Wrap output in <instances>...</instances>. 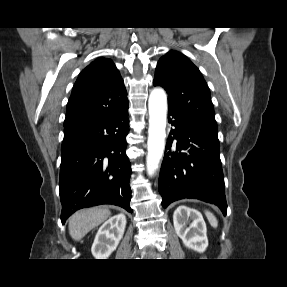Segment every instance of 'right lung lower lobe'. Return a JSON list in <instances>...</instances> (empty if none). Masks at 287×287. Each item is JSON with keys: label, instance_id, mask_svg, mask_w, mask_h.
Returning a JSON list of instances; mask_svg holds the SVG:
<instances>
[{"label": "right lung lower lobe", "instance_id": "1", "mask_svg": "<svg viewBox=\"0 0 287 287\" xmlns=\"http://www.w3.org/2000/svg\"><path fill=\"white\" fill-rule=\"evenodd\" d=\"M128 103L117 111L64 128L60 166L61 221L75 211L114 204L132 212L126 156Z\"/></svg>", "mask_w": 287, "mask_h": 287}]
</instances>
